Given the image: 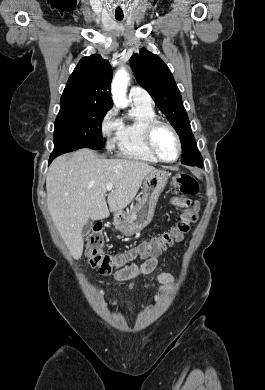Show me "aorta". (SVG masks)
Listing matches in <instances>:
<instances>
[{
	"mask_svg": "<svg viewBox=\"0 0 265 390\" xmlns=\"http://www.w3.org/2000/svg\"><path fill=\"white\" fill-rule=\"evenodd\" d=\"M130 81V76L125 67H120L115 73L111 85L112 99L114 103L122 108L128 106L127 87Z\"/></svg>",
	"mask_w": 265,
	"mask_h": 390,
	"instance_id": "762f6f07",
	"label": "aorta"
}]
</instances>
